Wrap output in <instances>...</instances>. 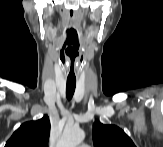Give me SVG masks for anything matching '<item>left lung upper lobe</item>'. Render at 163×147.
<instances>
[{
	"label": "left lung upper lobe",
	"instance_id": "1",
	"mask_svg": "<svg viewBox=\"0 0 163 147\" xmlns=\"http://www.w3.org/2000/svg\"><path fill=\"white\" fill-rule=\"evenodd\" d=\"M94 147H135L130 137L115 125L93 124Z\"/></svg>",
	"mask_w": 163,
	"mask_h": 147
}]
</instances>
